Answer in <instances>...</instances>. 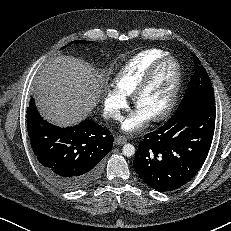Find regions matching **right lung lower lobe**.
Returning a JSON list of instances; mask_svg holds the SVG:
<instances>
[{
  "label": "right lung lower lobe",
  "mask_w": 231,
  "mask_h": 231,
  "mask_svg": "<svg viewBox=\"0 0 231 231\" xmlns=\"http://www.w3.org/2000/svg\"><path fill=\"white\" fill-rule=\"evenodd\" d=\"M27 131L42 173L67 192L85 188L100 176L114 140L110 131L91 120L66 128L48 123L33 98L27 108Z\"/></svg>",
  "instance_id": "1"
}]
</instances>
